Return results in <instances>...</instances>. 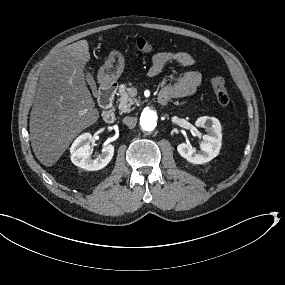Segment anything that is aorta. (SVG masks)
Masks as SVG:
<instances>
[{"instance_id": "obj_1", "label": "aorta", "mask_w": 285, "mask_h": 285, "mask_svg": "<svg viewBox=\"0 0 285 285\" xmlns=\"http://www.w3.org/2000/svg\"><path fill=\"white\" fill-rule=\"evenodd\" d=\"M139 123L143 131L156 133L164 127L166 116L160 108L149 106L141 112Z\"/></svg>"}]
</instances>
